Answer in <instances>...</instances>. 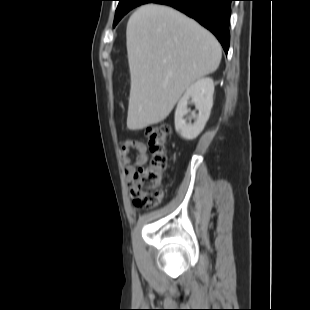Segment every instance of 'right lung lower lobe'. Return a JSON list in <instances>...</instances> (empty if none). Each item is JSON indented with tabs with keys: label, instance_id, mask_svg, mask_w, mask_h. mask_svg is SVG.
Returning <instances> with one entry per match:
<instances>
[{
	"label": "right lung lower lobe",
	"instance_id": "98d812e1",
	"mask_svg": "<svg viewBox=\"0 0 310 310\" xmlns=\"http://www.w3.org/2000/svg\"><path fill=\"white\" fill-rule=\"evenodd\" d=\"M232 1L234 0H153L152 2L171 6L194 18L216 36L227 53L230 43Z\"/></svg>",
	"mask_w": 310,
	"mask_h": 310
}]
</instances>
